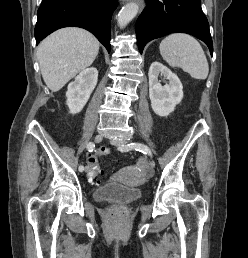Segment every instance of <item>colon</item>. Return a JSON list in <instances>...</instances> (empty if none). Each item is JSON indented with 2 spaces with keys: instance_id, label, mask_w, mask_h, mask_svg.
Wrapping results in <instances>:
<instances>
[{
  "instance_id": "5ec220e1",
  "label": "colon",
  "mask_w": 248,
  "mask_h": 258,
  "mask_svg": "<svg viewBox=\"0 0 248 258\" xmlns=\"http://www.w3.org/2000/svg\"><path fill=\"white\" fill-rule=\"evenodd\" d=\"M109 150L110 147L107 144H100L98 152H95L87 159L85 179L92 180L95 183L99 182L98 171H101V163H98V158L99 156L109 155Z\"/></svg>"
}]
</instances>
